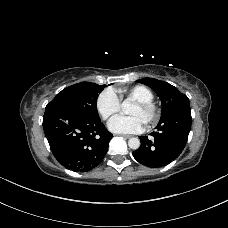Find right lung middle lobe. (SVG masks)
<instances>
[{
  "mask_svg": "<svg viewBox=\"0 0 228 228\" xmlns=\"http://www.w3.org/2000/svg\"><path fill=\"white\" fill-rule=\"evenodd\" d=\"M105 85L81 82L59 92L47 106L60 105L89 117H99L97 98Z\"/></svg>",
  "mask_w": 228,
  "mask_h": 228,
  "instance_id": "dd1d6c3e",
  "label": "right lung middle lobe"
}]
</instances>
